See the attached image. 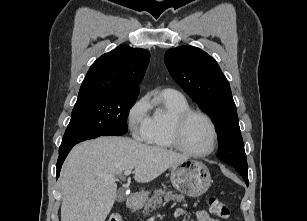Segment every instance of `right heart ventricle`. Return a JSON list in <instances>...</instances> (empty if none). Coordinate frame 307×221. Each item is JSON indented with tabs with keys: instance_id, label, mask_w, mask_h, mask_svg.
<instances>
[{
	"instance_id": "1",
	"label": "right heart ventricle",
	"mask_w": 307,
	"mask_h": 221,
	"mask_svg": "<svg viewBox=\"0 0 307 221\" xmlns=\"http://www.w3.org/2000/svg\"><path fill=\"white\" fill-rule=\"evenodd\" d=\"M150 116L146 142L159 148L172 149V129L175 118L191 109L187 99L174 90H163L149 105Z\"/></svg>"
}]
</instances>
